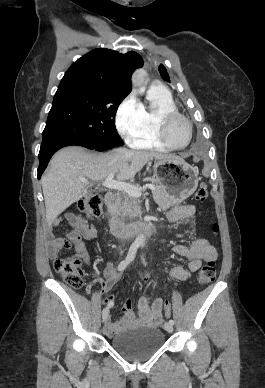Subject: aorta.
<instances>
[{
    "label": "aorta",
    "mask_w": 265,
    "mask_h": 388,
    "mask_svg": "<svg viewBox=\"0 0 265 388\" xmlns=\"http://www.w3.org/2000/svg\"><path fill=\"white\" fill-rule=\"evenodd\" d=\"M144 76H145V71L143 69L137 70L133 76H132V84L135 87H140L142 86L144 82ZM146 238L144 234H140L134 244L137 246H143L145 244Z\"/></svg>",
    "instance_id": "obj_1"
}]
</instances>
